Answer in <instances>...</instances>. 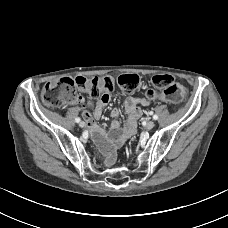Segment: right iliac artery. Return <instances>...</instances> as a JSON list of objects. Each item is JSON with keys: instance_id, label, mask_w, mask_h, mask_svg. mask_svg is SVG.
Returning <instances> with one entry per match:
<instances>
[{"instance_id": "right-iliac-artery-1", "label": "right iliac artery", "mask_w": 228, "mask_h": 228, "mask_svg": "<svg viewBox=\"0 0 228 228\" xmlns=\"http://www.w3.org/2000/svg\"><path fill=\"white\" fill-rule=\"evenodd\" d=\"M81 121V119L79 118V117H77L76 119H75V122H77V123H79Z\"/></svg>"}]
</instances>
